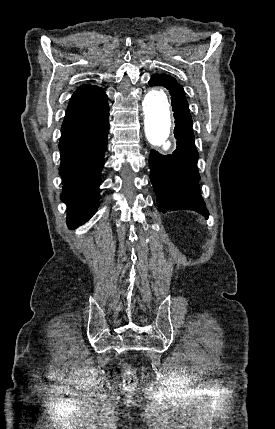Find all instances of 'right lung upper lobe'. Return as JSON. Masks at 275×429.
<instances>
[{"label":"right lung upper lobe","mask_w":275,"mask_h":429,"mask_svg":"<svg viewBox=\"0 0 275 429\" xmlns=\"http://www.w3.org/2000/svg\"><path fill=\"white\" fill-rule=\"evenodd\" d=\"M108 108L107 96L101 88L82 85L70 99L62 127L91 120Z\"/></svg>","instance_id":"1"}]
</instances>
